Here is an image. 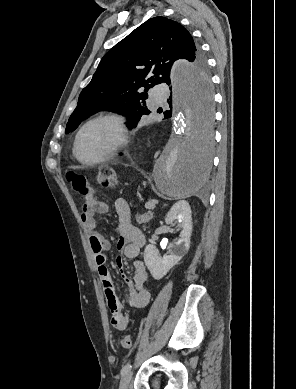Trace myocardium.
Returning a JSON list of instances; mask_svg holds the SVG:
<instances>
[{"label": "myocardium", "mask_w": 296, "mask_h": 389, "mask_svg": "<svg viewBox=\"0 0 296 389\" xmlns=\"http://www.w3.org/2000/svg\"><path fill=\"white\" fill-rule=\"evenodd\" d=\"M100 121H108L114 125L117 133L116 140L99 158L94 160H85L81 158L78 154V146H79L81 135L83 134L85 129L88 128L90 125ZM127 141H128V131H127L125 118L122 115L117 113H103L89 119L79 128L73 144V154L75 158L83 164L96 165L108 160L113 155H115L127 143Z\"/></svg>", "instance_id": "obj_1"}]
</instances>
